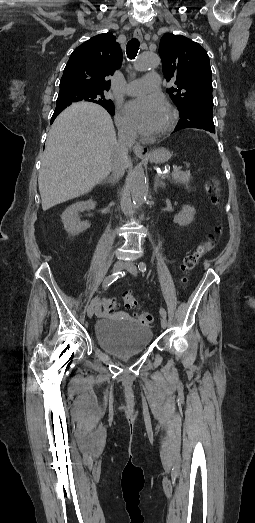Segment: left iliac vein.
Instances as JSON below:
<instances>
[{
	"label": "left iliac vein",
	"instance_id": "4c4485c4",
	"mask_svg": "<svg viewBox=\"0 0 255 523\" xmlns=\"http://www.w3.org/2000/svg\"><path fill=\"white\" fill-rule=\"evenodd\" d=\"M126 269L133 275H137V268L133 262H127L125 265ZM161 327L165 329L167 327V320L165 317L161 319Z\"/></svg>",
	"mask_w": 255,
	"mask_h": 523
}]
</instances>
